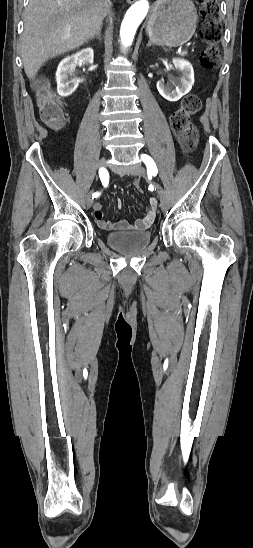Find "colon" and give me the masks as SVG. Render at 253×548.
Returning a JSON list of instances; mask_svg holds the SVG:
<instances>
[{
  "instance_id": "obj_1",
  "label": "colon",
  "mask_w": 253,
  "mask_h": 548,
  "mask_svg": "<svg viewBox=\"0 0 253 548\" xmlns=\"http://www.w3.org/2000/svg\"><path fill=\"white\" fill-rule=\"evenodd\" d=\"M200 6V14L204 21L202 38L208 44V48L202 54L200 62L206 69L215 68L220 60L217 44L221 34L219 29V14L217 0H197ZM34 90L39 106L41 118L51 126H60L63 121V107L60 100L52 91L49 82L45 79H37L34 82ZM201 99L196 94H188L181 102L180 107L171 116V127L179 138L185 152H192L198 144V132L191 122V118L201 109ZM136 187L139 192H144L140 177H135Z\"/></svg>"
}]
</instances>
